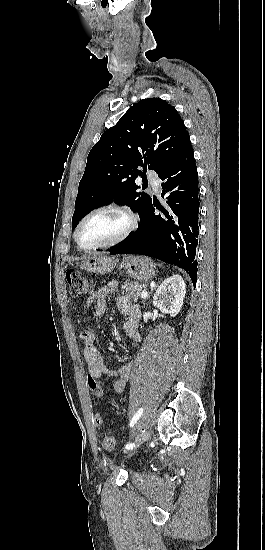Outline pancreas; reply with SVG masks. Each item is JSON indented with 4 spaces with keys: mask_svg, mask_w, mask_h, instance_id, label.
<instances>
[{
    "mask_svg": "<svg viewBox=\"0 0 265 550\" xmlns=\"http://www.w3.org/2000/svg\"><path fill=\"white\" fill-rule=\"evenodd\" d=\"M122 289V293H125L127 299L137 302L140 294L147 289V285L126 281L122 286Z\"/></svg>",
    "mask_w": 265,
    "mask_h": 550,
    "instance_id": "cf45deb5",
    "label": "pancreas"
}]
</instances>
